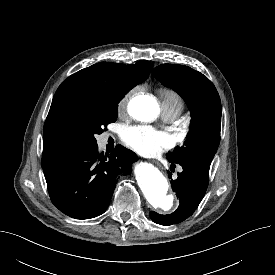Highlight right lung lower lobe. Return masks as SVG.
Segmentation results:
<instances>
[{"mask_svg":"<svg viewBox=\"0 0 275 275\" xmlns=\"http://www.w3.org/2000/svg\"><path fill=\"white\" fill-rule=\"evenodd\" d=\"M137 160L135 153L121 145L109 156L99 153L97 146L78 149L44 171L51 201L75 219L99 216L110 203L117 176L129 175Z\"/></svg>","mask_w":275,"mask_h":275,"instance_id":"98d812e1","label":"right lung lower lobe"}]
</instances>
